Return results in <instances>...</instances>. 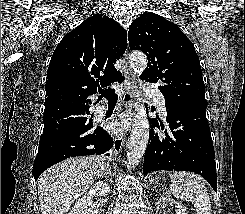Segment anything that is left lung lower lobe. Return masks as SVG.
I'll list each match as a JSON object with an SVG mask.
<instances>
[{
	"mask_svg": "<svg viewBox=\"0 0 245 214\" xmlns=\"http://www.w3.org/2000/svg\"><path fill=\"white\" fill-rule=\"evenodd\" d=\"M167 108L170 132L156 133V118L145 152L143 173L154 170L192 171L206 179L217 190L215 152L206 119V106L198 104ZM164 129L163 127H161Z\"/></svg>",
	"mask_w": 245,
	"mask_h": 214,
	"instance_id": "1",
	"label": "left lung lower lobe"
}]
</instances>
